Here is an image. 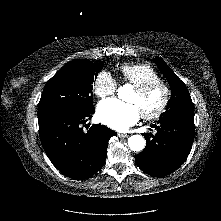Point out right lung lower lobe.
Masks as SVG:
<instances>
[{"instance_id":"right-lung-lower-lobe-1","label":"right lung lower lobe","mask_w":221,"mask_h":221,"mask_svg":"<svg viewBox=\"0 0 221 221\" xmlns=\"http://www.w3.org/2000/svg\"><path fill=\"white\" fill-rule=\"evenodd\" d=\"M92 106L85 111H65L38 118L42 146L53 165L65 176L87 179L104 164L108 141L117 133L104 125H92L84 132L81 125L92 117Z\"/></svg>"}]
</instances>
